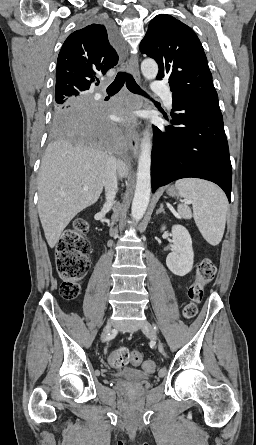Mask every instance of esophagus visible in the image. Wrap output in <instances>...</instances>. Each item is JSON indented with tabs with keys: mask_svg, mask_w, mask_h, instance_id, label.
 I'll use <instances>...</instances> for the list:
<instances>
[{
	"mask_svg": "<svg viewBox=\"0 0 256 445\" xmlns=\"http://www.w3.org/2000/svg\"><path fill=\"white\" fill-rule=\"evenodd\" d=\"M128 69L133 74L136 80L140 79L138 56L136 54L131 55V57L129 58ZM132 105L134 108H140L142 102L139 99H136ZM125 135L131 153L134 157H137L140 141L137 126L135 124H128L126 127Z\"/></svg>",
	"mask_w": 256,
	"mask_h": 445,
	"instance_id": "obj_1",
	"label": "esophagus"
}]
</instances>
